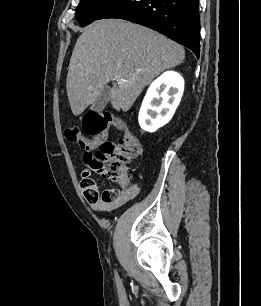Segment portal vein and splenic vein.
Segmentation results:
<instances>
[{"mask_svg": "<svg viewBox=\"0 0 261 306\" xmlns=\"http://www.w3.org/2000/svg\"><path fill=\"white\" fill-rule=\"evenodd\" d=\"M114 80L118 81V82H123V80L120 78L119 75H115L114 76Z\"/></svg>", "mask_w": 261, "mask_h": 306, "instance_id": "portal-vein-and-splenic-vein-1", "label": "portal vein and splenic vein"}]
</instances>
